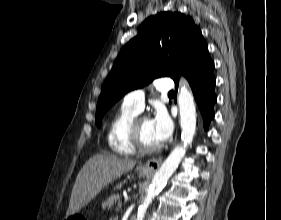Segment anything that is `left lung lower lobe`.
<instances>
[{"label":"left lung lower lobe","mask_w":281,"mask_h":220,"mask_svg":"<svg viewBox=\"0 0 281 220\" xmlns=\"http://www.w3.org/2000/svg\"><path fill=\"white\" fill-rule=\"evenodd\" d=\"M184 76L187 78L199 110L203 117L204 128L207 129L210 121L214 118L213 106L217 97L214 92V62L209 52L201 54L194 58L186 68ZM178 80L175 81L176 88Z\"/></svg>","instance_id":"obj_1"}]
</instances>
